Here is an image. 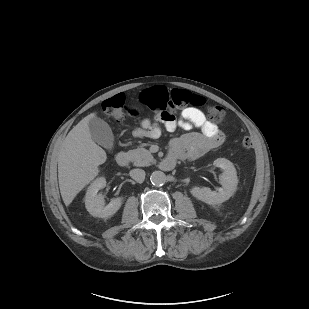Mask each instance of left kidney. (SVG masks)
<instances>
[{
    "label": "left kidney",
    "instance_id": "obj_1",
    "mask_svg": "<svg viewBox=\"0 0 309 309\" xmlns=\"http://www.w3.org/2000/svg\"><path fill=\"white\" fill-rule=\"evenodd\" d=\"M213 165L223 170L221 176V185L218 191H212L207 187H193L191 194L198 200L209 205H218L227 201L237 189L238 179L237 173L232 162L225 158H218L213 162Z\"/></svg>",
    "mask_w": 309,
    "mask_h": 309
}]
</instances>
